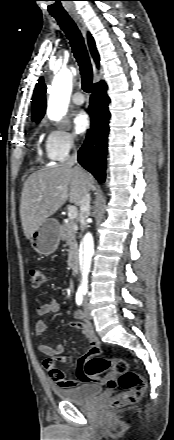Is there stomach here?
Returning a JSON list of instances; mask_svg holds the SVG:
<instances>
[{
	"mask_svg": "<svg viewBox=\"0 0 174 440\" xmlns=\"http://www.w3.org/2000/svg\"><path fill=\"white\" fill-rule=\"evenodd\" d=\"M60 225L56 219L46 218L30 237L33 249L41 255L56 251L60 242Z\"/></svg>",
	"mask_w": 174,
	"mask_h": 440,
	"instance_id": "0dacf381",
	"label": "stomach"
}]
</instances>
